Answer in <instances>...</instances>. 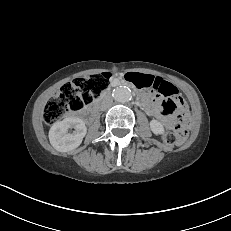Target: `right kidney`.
Masks as SVG:
<instances>
[{"label": "right kidney", "mask_w": 231, "mask_h": 231, "mask_svg": "<svg viewBox=\"0 0 231 231\" xmlns=\"http://www.w3.org/2000/svg\"><path fill=\"white\" fill-rule=\"evenodd\" d=\"M75 130L68 133L69 129ZM87 128L83 120L69 117L58 121L49 130L51 145L60 152H68L77 148L85 137Z\"/></svg>", "instance_id": "1"}]
</instances>
